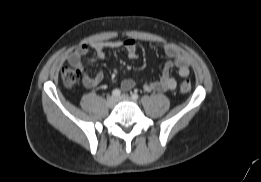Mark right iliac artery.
<instances>
[{
  "label": "right iliac artery",
  "instance_id": "obj_1",
  "mask_svg": "<svg viewBox=\"0 0 261 182\" xmlns=\"http://www.w3.org/2000/svg\"><path fill=\"white\" fill-rule=\"evenodd\" d=\"M121 95V91L119 89H114L112 91V96L119 97Z\"/></svg>",
  "mask_w": 261,
  "mask_h": 182
}]
</instances>
